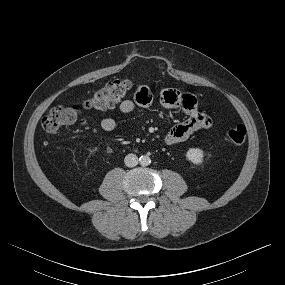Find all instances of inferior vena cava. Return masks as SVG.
Returning <instances> with one entry per match:
<instances>
[{
    "label": "inferior vena cava",
    "mask_w": 285,
    "mask_h": 285,
    "mask_svg": "<svg viewBox=\"0 0 285 285\" xmlns=\"http://www.w3.org/2000/svg\"><path fill=\"white\" fill-rule=\"evenodd\" d=\"M124 162L127 167H134L138 164V157L135 154H128L125 156Z\"/></svg>",
    "instance_id": "obj_1"
}]
</instances>
